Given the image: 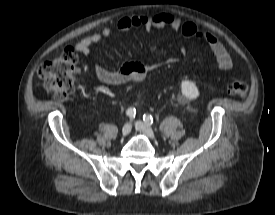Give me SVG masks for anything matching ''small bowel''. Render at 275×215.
<instances>
[{
    "label": "small bowel",
    "mask_w": 275,
    "mask_h": 215,
    "mask_svg": "<svg viewBox=\"0 0 275 215\" xmlns=\"http://www.w3.org/2000/svg\"><path fill=\"white\" fill-rule=\"evenodd\" d=\"M140 27L148 31L166 27L177 30L186 38L195 39L206 44L213 53L220 69L229 70L232 67L233 62L231 56L223 44L212 33L201 30L193 22L182 21L178 17L166 13L156 15H134L122 17L117 21V29L121 32ZM111 34V28L104 27L100 32H95L79 41L75 45V49L83 54H90L93 45L104 38L110 37ZM150 70V66L140 61L127 62L116 71L108 70L100 65H94L93 67L95 77L106 85L141 82L145 79Z\"/></svg>",
    "instance_id": "obj_1"
}]
</instances>
